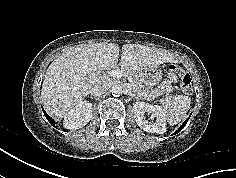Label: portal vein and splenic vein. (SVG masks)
<instances>
[{"label":"portal vein and splenic vein","instance_id":"obj_1","mask_svg":"<svg viewBox=\"0 0 236 178\" xmlns=\"http://www.w3.org/2000/svg\"><path fill=\"white\" fill-rule=\"evenodd\" d=\"M95 74H96V72H93V75H95ZM108 75H110L111 77H115V78H121V77L124 76V74L122 73V71H118V70L109 71V72H108ZM127 79L129 80V82H130L131 84H133V79H132L130 76H128Z\"/></svg>","mask_w":236,"mask_h":178}]
</instances>
